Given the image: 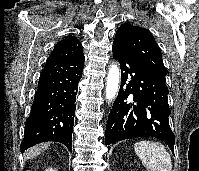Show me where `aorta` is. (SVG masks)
<instances>
[{
    "mask_svg": "<svg viewBox=\"0 0 199 171\" xmlns=\"http://www.w3.org/2000/svg\"><path fill=\"white\" fill-rule=\"evenodd\" d=\"M120 69L117 64H112L109 68L106 80V99L112 101L119 90L120 84Z\"/></svg>",
    "mask_w": 199,
    "mask_h": 171,
    "instance_id": "762f6f07",
    "label": "aorta"
}]
</instances>
